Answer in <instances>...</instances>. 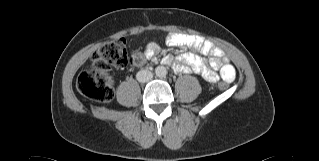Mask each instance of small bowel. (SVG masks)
Wrapping results in <instances>:
<instances>
[{
  "mask_svg": "<svg viewBox=\"0 0 319 161\" xmlns=\"http://www.w3.org/2000/svg\"><path fill=\"white\" fill-rule=\"evenodd\" d=\"M166 41L170 46H187L196 52H185L178 54L175 58H165L164 62L170 64L175 72L189 73L193 71L201 75L205 80L214 83L219 80V75L216 73L219 70L222 80L231 82L234 79V67L224 57L223 51L219 47L214 46L210 41L188 33H170L167 35ZM157 48L156 42H149L147 44V55L149 57L154 56ZM197 53L211 56L209 66Z\"/></svg>",
  "mask_w": 319,
  "mask_h": 161,
  "instance_id": "obj_1",
  "label": "small bowel"
}]
</instances>
